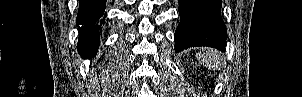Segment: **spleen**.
<instances>
[{
	"label": "spleen",
	"instance_id": "spleen-1",
	"mask_svg": "<svg viewBox=\"0 0 302 97\" xmlns=\"http://www.w3.org/2000/svg\"><path fill=\"white\" fill-rule=\"evenodd\" d=\"M197 60L209 69H218L220 67V57L218 53L210 48L202 49L196 54Z\"/></svg>",
	"mask_w": 302,
	"mask_h": 97
}]
</instances>
